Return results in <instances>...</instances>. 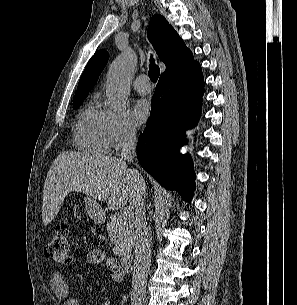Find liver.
Instances as JSON below:
<instances>
[{
    "instance_id": "6515ba94",
    "label": "liver",
    "mask_w": 297,
    "mask_h": 305,
    "mask_svg": "<svg viewBox=\"0 0 297 305\" xmlns=\"http://www.w3.org/2000/svg\"><path fill=\"white\" fill-rule=\"evenodd\" d=\"M146 189L122 158L103 154L65 151L52 163L47 174L42 203V223L50 224L71 191L85 193L99 201H108V208H121Z\"/></svg>"
}]
</instances>
